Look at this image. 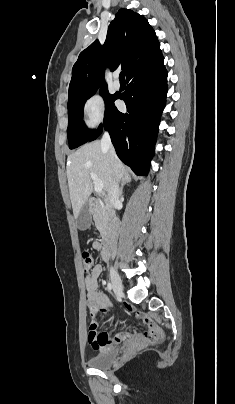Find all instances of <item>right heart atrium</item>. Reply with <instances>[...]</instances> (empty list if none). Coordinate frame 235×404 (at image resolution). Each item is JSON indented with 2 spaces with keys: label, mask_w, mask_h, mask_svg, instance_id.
I'll return each instance as SVG.
<instances>
[{
  "label": "right heart atrium",
  "mask_w": 235,
  "mask_h": 404,
  "mask_svg": "<svg viewBox=\"0 0 235 404\" xmlns=\"http://www.w3.org/2000/svg\"><path fill=\"white\" fill-rule=\"evenodd\" d=\"M83 118L87 127L94 129L105 121L106 101L98 92L91 94L84 102Z\"/></svg>",
  "instance_id": "1"
}]
</instances>
